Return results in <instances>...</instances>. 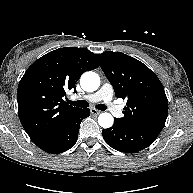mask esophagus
<instances>
[{
  "label": "esophagus",
  "instance_id": "34e87169",
  "mask_svg": "<svg viewBox=\"0 0 193 193\" xmlns=\"http://www.w3.org/2000/svg\"><path fill=\"white\" fill-rule=\"evenodd\" d=\"M90 112H91V114L92 115H99L100 113H101V111H99V110H97V109H95V108H92L91 110H90Z\"/></svg>",
  "mask_w": 193,
  "mask_h": 193
}]
</instances>
